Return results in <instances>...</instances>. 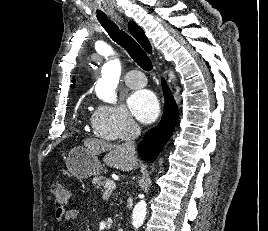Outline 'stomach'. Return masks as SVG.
<instances>
[{
  "mask_svg": "<svg viewBox=\"0 0 268 231\" xmlns=\"http://www.w3.org/2000/svg\"><path fill=\"white\" fill-rule=\"evenodd\" d=\"M66 166L71 175L80 180L97 176L102 170L97 156L85 146H76L69 151Z\"/></svg>",
  "mask_w": 268,
  "mask_h": 231,
  "instance_id": "0dacf381",
  "label": "stomach"
}]
</instances>
